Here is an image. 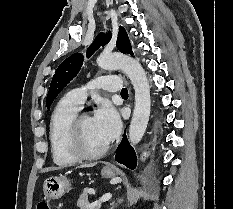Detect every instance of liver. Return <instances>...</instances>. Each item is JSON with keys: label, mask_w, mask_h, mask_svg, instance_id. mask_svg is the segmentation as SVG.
Instances as JSON below:
<instances>
[{"label": "liver", "mask_w": 233, "mask_h": 209, "mask_svg": "<svg viewBox=\"0 0 233 209\" xmlns=\"http://www.w3.org/2000/svg\"><path fill=\"white\" fill-rule=\"evenodd\" d=\"M95 164H83L79 168H88V167H93Z\"/></svg>", "instance_id": "6515ba94"}]
</instances>
